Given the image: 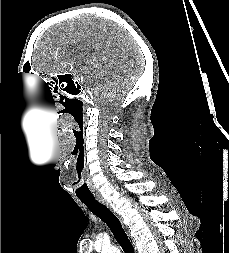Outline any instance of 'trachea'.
Listing matches in <instances>:
<instances>
[{
	"instance_id": "trachea-1",
	"label": "trachea",
	"mask_w": 229,
	"mask_h": 253,
	"mask_svg": "<svg viewBox=\"0 0 229 253\" xmlns=\"http://www.w3.org/2000/svg\"><path fill=\"white\" fill-rule=\"evenodd\" d=\"M79 199L94 215L100 218L110 228L124 253H134L133 246L122 227L120 220L110 211V209L97 201L94 196Z\"/></svg>"
}]
</instances>
